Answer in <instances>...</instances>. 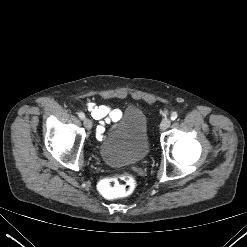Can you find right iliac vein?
<instances>
[{"instance_id":"63e3f726","label":"right iliac vein","mask_w":247,"mask_h":247,"mask_svg":"<svg viewBox=\"0 0 247 247\" xmlns=\"http://www.w3.org/2000/svg\"><path fill=\"white\" fill-rule=\"evenodd\" d=\"M83 124L86 127V129L90 130L92 128V121L88 118H84Z\"/></svg>"}]
</instances>
